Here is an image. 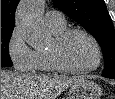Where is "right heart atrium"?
Instances as JSON below:
<instances>
[{"label":"right heart atrium","instance_id":"right-heart-atrium-1","mask_svg":"<svg viewBox=\"0 0 115 99\" xmlns=\"http://www.w3.org/2000/svg\"><path fill=\"white\" fill-rule=\"evenodd\" d=\"M7 52L13 66L20 72L33 71L36 53L26 43L20 28L15 27L8 39Z\"/></svg>","mask_w":115,"mask_h":99}]
</instances>
